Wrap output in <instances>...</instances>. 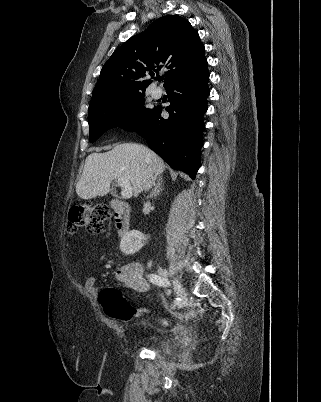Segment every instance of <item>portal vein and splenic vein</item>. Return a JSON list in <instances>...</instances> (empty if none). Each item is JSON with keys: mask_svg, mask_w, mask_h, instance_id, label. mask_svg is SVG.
<instances>
[{"mask_svg": "<svg viewBox=\"0 0 321 402\" xmlns=\"http://www.w3.org/2000/svg\"><path fill=\"white\" fill-rule=\"evenodd\" d=\"M118 186L122 188L121 195L123 198H130L132 196V187L130 185V182L126 178H119L118 179Z\"/></svg>", "mask_w": 321, "mask_h": 402, "instance_id": "18ae733b", "label": "portal vein and splenic vein"}]
</instances>
